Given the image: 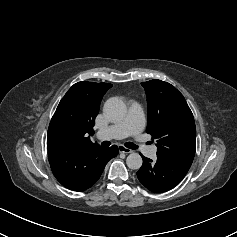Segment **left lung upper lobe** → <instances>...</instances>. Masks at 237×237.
I'll return each instance as SVG.
<instances>
[{
    "mask_svg": "<svg viewBox=\"0 0 237 237\" xmlns=\"http://www.w3.org/2000/svg\"><path fill=\"white\" fill-rule=\"evenodd\" d=\"M141 85L148 103L146 131L157 141V156L191 166L196 150V127L183 95L161 80Z\"/></svg>",
    "mask_w": 237,
    "mask_h": 237,
    "instance_id": "5c2ea615",
    "label": "left lung upper lobe"
}]
</instances>
